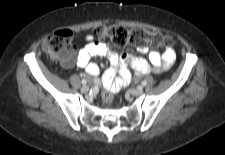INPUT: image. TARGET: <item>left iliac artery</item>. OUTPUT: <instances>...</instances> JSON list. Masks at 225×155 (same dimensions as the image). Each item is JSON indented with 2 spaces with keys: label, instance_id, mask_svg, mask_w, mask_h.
I'll use <instances>...</instances> for the list:
<instances>
[{
  "label": "left iliac artery",
  "instance_id": "44dca946",
  "mask_svg": "<svg viewBox=\"0 0 225 155\" xmlns=\"http://www.w3.org/2000/svg\"><path fill=\"white\" fill-rule=\"evenodd\" d=\"M141 85H142L143 87L146 86V82L143 81V82L141 83Z\"/></svg>",
  "mask_w": 225,
  "mask_h": 155
}]
</instances>
